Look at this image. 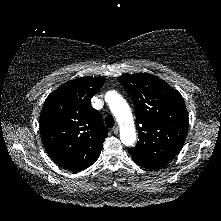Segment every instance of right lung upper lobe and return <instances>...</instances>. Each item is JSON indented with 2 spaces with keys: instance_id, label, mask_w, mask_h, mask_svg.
<instances>
[{
  "instance_id": "1",
  "label": "right lung upper lobe",
  "mask_w": 221,
  "mask_h": 221,
  "mask_svg": "<svg viewBox=\"0 0 221 221\" xmlns=\"http://www.w3.org/2000/svg\"><path fill=\"white\" fill-rule=\"evenodd\" d=\"M105 77H83L58 87L45 100L41 139L53 160L66 169L84 170L99 157L108 129L90 100Z\"/></svg>"
}]
</instances>
